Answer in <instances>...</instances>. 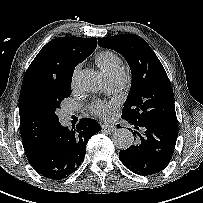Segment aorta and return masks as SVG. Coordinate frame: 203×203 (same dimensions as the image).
<instances>
[{
    "label": "aorta",
    "instance_id": "aorta-1",
    "mask_svg": "<svg viewBox=\"0 0 203 203\" xmlns=\"http://www.w3.org/2000/svg\"><path fill=\"white\" fill-rule=\"evenodd\" d=\"M76 84L84 92H96L100 89L102 81L97 72L85 69L77 76ZM113 142L118 149H128L133 144V135L128 129H118L113 134Z\"/></svg>",
    "mask_w": 203,
    "mask_h": 203
}]
</instances>
